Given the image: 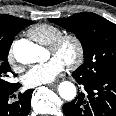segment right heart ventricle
Wrapping results in <instances>:
<instances>
[{"mask_svg":"<svg viewBox=\"0 0 116 116\" xmlns=\"http://www.w3.org/2000/svg\"><path fill=\"white\" fill-rule=\"evenodd\" d=\"M62 34L59 27L47 23L37 24L28 30V35L33 40L44 45L52 44Z\"/></svg>","mask_w":116,"mask_h":116,"instance_id":"right-heart-ventricle-1","label":"right heart ventricle"}]
</instances>
